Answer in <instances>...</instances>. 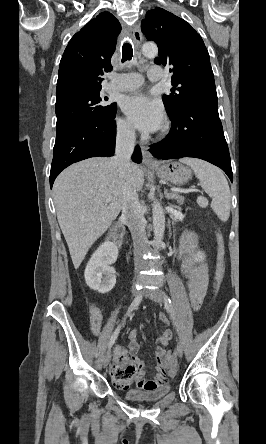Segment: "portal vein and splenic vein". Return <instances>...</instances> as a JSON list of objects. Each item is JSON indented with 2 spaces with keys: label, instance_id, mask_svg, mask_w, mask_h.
Wrapping results in <instances>:
<instances>
[{
  "label": "portal vein and splenic vein",
  "instance_id": "obj_1",
  "mask_svg": "<svg viewBox=\"0 0 266 444\" xmlns=\"http://www.w3.org/2000/svg\"><path fill=\"white\" fill-rule=\"evenodd\" d=\"M172 191H178V192H183V193H189V192H193V191H195L194 189H177V188H174V189H172ZM106 202L108 203V202H110V199H106Z\"/></svg>",
  "mask_w": 266,
  "mask_h": 444
}]
</instances>
